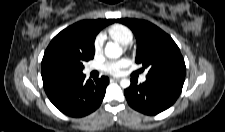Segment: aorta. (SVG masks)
<instances>
[{
	"instance_id": "obj_1",
	"label": "aorta",
	"mask_w": 225,
	"mask_h": 132,
	"mask_svg": "<svg viewBox=\"0 0 225 132\" xmlns=\"http://www.w3.org/2000/svg\"><path fill=\"white\" fill-rule=\"evenodd\" d=\"M104 53L108 58H119L123 51L118 43L108 42L105 46ZM120 86L122 88H128L130 86V80L127 78L121 79Z\"/></svg>"
}]
</instances>
